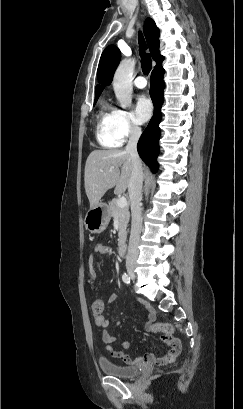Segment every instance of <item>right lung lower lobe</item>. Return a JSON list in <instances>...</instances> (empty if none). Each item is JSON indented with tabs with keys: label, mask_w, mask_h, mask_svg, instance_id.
Masks as SVG:
<instances>
[{
	"label": "right lung lower lobe",
	"mask_w": 243,
	"mask_h": 409,
	"mask_svg": "<svg viewBox=\"0 0 243 409\" xmlns=\"http://www.w3.org/2000/svg\"><path fill=\"white\" fill-rule=\"evenodd\" d=\"M162 58L151 73L150 94L154 104V115L149 122L148 127L142 133L137 145V150L142 160L150 167L152 172L158 169L157 156L159 153L161 106L164 101L163 90L165 83L163 81L164 69L162 67Z\"/></svg>",
	"instance_id": "obj_1"
}]
</instances>
